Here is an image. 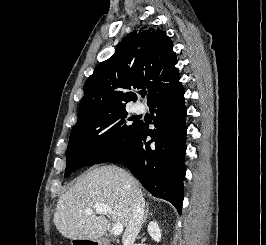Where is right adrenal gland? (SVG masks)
Instances as JSON below:
<instances>
[{"instance_id": "right-adrenal-gland-1", "label": "right adrenal gland", "mask_w": 266, "mask_h": 245, "mask_svg": "<svg viewBox=\"0 0 266 245\" xmlns=\"http://www.w3.org/2000/svg\"><path fill=\"white\" fill-rule=\"evenodd\" d=\"M149 215H153V213H149V203H146V211L142 223H146Z\"/></svg>"}]
</instances>
